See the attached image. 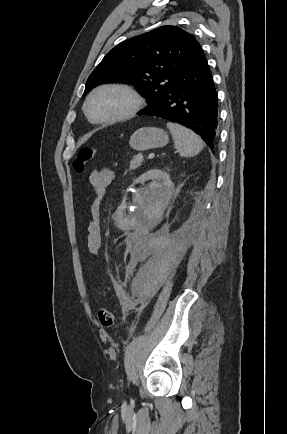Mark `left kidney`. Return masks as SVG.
I'll return each instance as SVG.
<instances>
[{"instance_id":"5707ae66","label":"left kidney","mask_w":287,"mask_h":434,"mask_svg":"<svg viewBox=\"0 0 287 434\" xmlns=\"http://www.w3.org/2000/svg\"><path fill=\"white\" fill-rule=\"evenodd\" d=\"M151 180L148 188L137 190L133 196V204L137 205L134 212L126 215L127 206L119 208V222L123 227H133L158 208H164L170 202L174 193V184L170 175L162 170H150L138 178V181Z\"/></svg>"}]
</instances>
